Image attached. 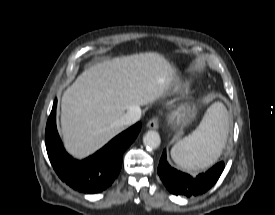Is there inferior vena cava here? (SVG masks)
<instances>
[{"instance_id":"obj_1","label":"inferior vena cava","mask_w":275,"mask_h":215,"mask_svg":"<svg viewBox=\"0 0 275 215\" xmlns=\"http://www.w3.org/2000/svg\"><path fill=\"white\" fill-rule=\"evenodd\" d=\"M141 117V109L139 106L130 108L118 121V125H132Z\"/></svg>"}]
</instances>
